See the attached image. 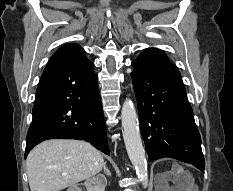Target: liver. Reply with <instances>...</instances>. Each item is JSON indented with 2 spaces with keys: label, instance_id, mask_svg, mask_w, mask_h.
I'll list each match as a JSON object with an SVG mask.
<instances>
[{
  "label": "liver",
  "instance_id": "6515ba94",
  "mask_svg": "<svg viewBox=\"0 0 233 191\" xmlns=\"http://www.w3.org/2000/svg\"><path fill=\"white\" fill-rule=\"evenodd\" d=\"M104 159L89 143L79 140H47L27 157L31 191H60L99 173ZM66 173V175H63Z\"/></svg>",
  "mask_w": 233,
  "mask_h": 191
}]
</instances>
